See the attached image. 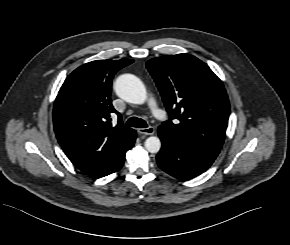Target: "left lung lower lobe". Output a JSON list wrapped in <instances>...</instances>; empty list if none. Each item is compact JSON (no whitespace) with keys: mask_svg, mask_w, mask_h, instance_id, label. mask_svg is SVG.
I'll use <instances>...</instances> for the list:
<instances>
[{"mask_svg":"<svg viewBox=\"0 0 290 245\" xmlns=\"http://www.w3.org/2000/svg\"><path fill=\"white\" fill-rule=\"evenodd\" d=\"M162 148L157 154L158 166L173 177L191 179L206 171L217 155L174 139L158 129Z\"/></svg>","mask_w":290,"mask_h":245,"instance_id":"obj_1","label":"left lung lower lobe"}]
</instances>
